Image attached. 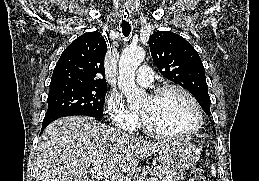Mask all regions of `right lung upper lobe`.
Here are the masks:
<instances>
[{
    "mask_svg": "<svg viewBox=\"0 0 259 181\" xmlns=\"http://www.w3.org/2000/svg\"><path fill=\"white\" fill-rule=\"evenodd\" d=\"M107 45L99 31L74 40L61 54L52 74L50 87L82 85L106 87L104 56Z\"/></svg>",
    "mask_w": 259,
    "mask_h": 181,
    "instance_id": "obj_1",
    "label": "right lung upper lobe"
}]
</instances>
